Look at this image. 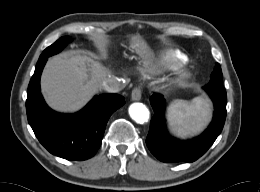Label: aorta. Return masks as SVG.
Masks as SVG:
<instances>
[{
	"label": "aorta",
	"instance_id": "762f6f07",
	"mask_svg": "<svg viewBox=\"0 0 260 192\" xmlns=\"http://www.w3.org/2000/svg\"><path fill=\"white\" fill-rule=\"evenodd\" d=\"M130 117L137 123L143 124L149 120V110L142 103H133L129 107Z\"/></svg>",
	"mask_w": 260,
	"mask_h": 192
}]
</instances>
